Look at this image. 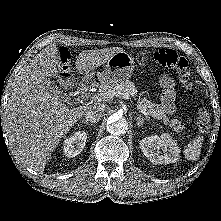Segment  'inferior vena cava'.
Here are the masks:
<instances>
[{"instance_id":"inferior-vena-cava-1","label":"inferior vena cava","mask_w":221,"mask_h":221,"mask_svg":"<svg viewBox=\"0 0 221 221\" xmlns=\"http://www.w3.org/2000/svg\"><path fill=\"white\" fill-rule=\"evenodd\" d=\"M105 109L103 104L91 105L85 112V119L91 123H96L103 117Z\"/></svg>"}]
</instances>
